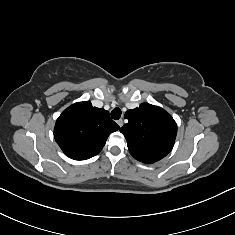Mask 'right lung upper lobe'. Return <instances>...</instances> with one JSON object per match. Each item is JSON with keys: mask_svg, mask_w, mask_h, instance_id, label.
I'll use <instances>...</instances> for the list:
<instances>
[{"mask_svg": "<svg viewBox=\"0 0 235 235\" xmlns=\"http://www.w3.org/2000/svg\"><path fill=\"white\" fill-rule=\"evenodd\" d=\"M119 128L108 111L84 101L62 112L55 124L54 137L68 157L86 160L97 155L108 136Z\"/></svg>", "mask_w": 235, "mask_h": 235, "instance_id": "1", "label": "right lung upper lobe"}]
</instances>
